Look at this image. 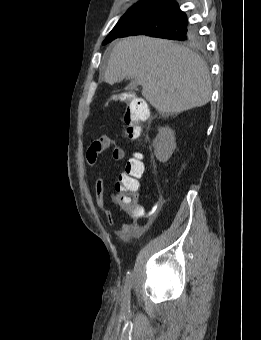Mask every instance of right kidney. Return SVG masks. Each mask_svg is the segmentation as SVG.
<instances>
[{"mask_svg":"<svg viewBox=\"0 0 261 340\" xmlns=\"http://www.w3.org/2000/svg\"><path fill=\"white\" fill-rule=\"evenodd\" d=\"M158 131L153 141L154 154L157 160L165 163L176 149L175 133L168 126L159 128Z\"/></svg>","mask_w":261,"mask_h":340,"instance_id":"right-kidney-1","label":"right kidney"}]
</instances>
